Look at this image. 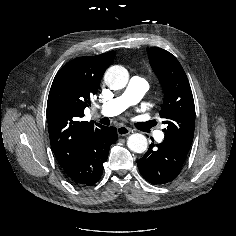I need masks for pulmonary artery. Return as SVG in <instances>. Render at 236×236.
<instances>
[{
    "label": "pulmonary artery",
    "instance_id": "pulmonary-artery-1",
    "mask_svg": "<svg viewBox=\"0 0 236 236\" xmlns=\"http://www.w3.org/2000/svg\"><path fill=\"white\" fill-rule=\"evenodd\" d=\"M149 89L147 81L140 76H133L122 95L112 99L100 107V113L105 116H116L129 106L136 104ZM163 134H156L157 140H162Z\"/></svg>",
    "mask_w": 236,
    "mask_h": 236
}]
</instances>
